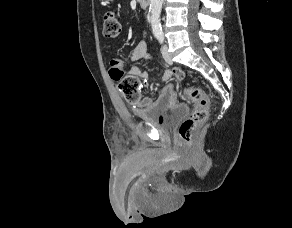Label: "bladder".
<instances>
[{"label": "bladder", "mask_w": 292, "mask_h": 228, "mask_svg": "<svg viewBox=\"0 0 292 228\" xmlns=\"http://www.w3.org/2000/svg\"><path fill=\"white\" fill-rule=\"evenodd\" d=\"M188 113V106L178 104L171 107L166 112L159 115H147L142 117V121L149 123L157 128L168 130L183 119Z\"/></svg>", "instance_id": "31cf9c89"}]
</instances>
